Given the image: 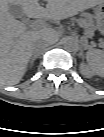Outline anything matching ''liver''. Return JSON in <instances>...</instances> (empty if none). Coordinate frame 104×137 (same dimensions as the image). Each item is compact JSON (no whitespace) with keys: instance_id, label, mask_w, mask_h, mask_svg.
<instances>
[{"instance_id":"1","label":"liver","mask_w":104,"mask_h":137,"mask_svg":"<svg viewBox=\"0 0 104 137\" xmlns=\"http://www.w3.org/2000/svg\"><path fill=\"white\" fill-rule=\"evenodd\" d=\"M39 0L0 1V83L12 86L24 76L28 63L40 42L53 43L59 32L47 28L27 31L26 25L10 14L9 4L18 5L30 18L61 20L80 11L103 4V0H47V7Z\"/></svg>"}]
</instances>
